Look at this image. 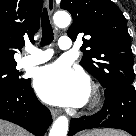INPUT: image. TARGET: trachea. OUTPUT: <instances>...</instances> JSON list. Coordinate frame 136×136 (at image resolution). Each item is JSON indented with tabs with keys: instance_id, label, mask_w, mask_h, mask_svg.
Segmentation results:
<instances>
[{
	"instance_id": "obj_1",
	"label": "trachea",
	"mask_w": 136,
	"mask_h": 136,
	"mask_svg": "<svg viewBox=\"0 0 136 136\" xmlns=\"http://www.w3.org/2000/svg\"><path fill=\"white\" fill-rule=\"evenodd\" d=\"M41 26H42V39H41V45L45 46L50 44L53 39V29L50 24L49 16L47 9L44 8L41 18Z\"/></svg>"
}]
</instances>
